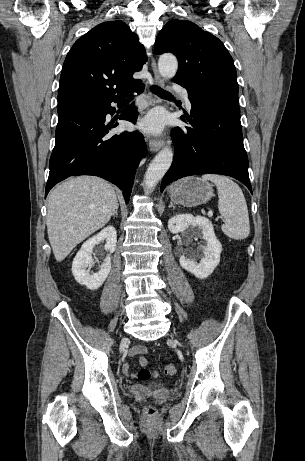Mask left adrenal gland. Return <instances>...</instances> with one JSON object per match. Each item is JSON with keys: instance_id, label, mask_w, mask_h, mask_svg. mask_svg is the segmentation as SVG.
Returning <instances> with one entry per match:
<instances>
[{"instance_id": "obj_1", "label": "left adrenal gland", "mask_w": 305, "mask_h": 461, "mask_svg": "<svg viewBox=\"0 0 305 461\" xmlns=\"http://www.w3.org/2000/svg\"><path fill=\"white\" fill-rule=\"evenodd\" d=\"M169 208H175L172 202H170Z\"/></svg>"}]
</instances>
